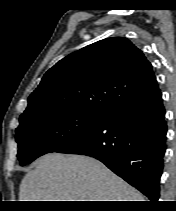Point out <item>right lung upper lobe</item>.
<instances>
[{
	"label": "right lung upper lobe",
	"mask_w": 176,
	"mask_h": 211,
	"mask_svg": "<svg viewBox=\"0 0 176 211\" xmlns=\"http://www.w3.org/2000/svg\"><path fill=\"white\" fill-rule=\"evenodd\" d=\"M159 91L152 65L127 38L95 42L60 60L29 96L20 118L49 109L110 114Z\"/></svg>",
	"instance_id": "cb5924a9"
}]
</instances>
